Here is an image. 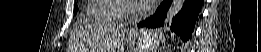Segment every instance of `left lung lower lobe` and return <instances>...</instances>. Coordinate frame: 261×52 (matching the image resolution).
<instances>
[{"mask_svg": "<svg viewBox=\"0 0 261 52\" xmlns=\"http://www.w3.org/2000/svg\"><path fill=\"white\" fill-rule=\"evenodd\" d=\"M171 2L172 0H163L156 12L140 22L138 27L156 28L164 26V18ZM202 4L203 0H186L181 11L168 24L171 31L180 36L184 42L191 38Z\"/></svg>", "mask_w": 261, "mask_h": 52, "instance_id": "obj_1", "label": "left lung lower lobe"}]
</instances>
